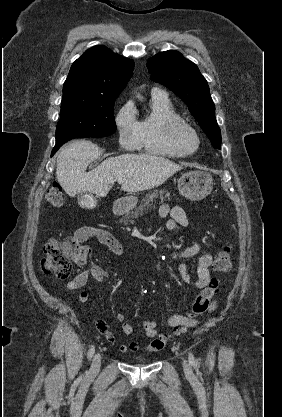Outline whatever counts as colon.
Returning <instances> with one entry per match:
<instances>
[{
    "mask_svg": "<svg viewBox=\"0 0 282 417\" xmlns=\"http://www.w3.org/2000/svg\"><path fill=\"white\" fill-rule=\"evenodd\" d=\"M46 200L53 208L63 204L62 187L55 183L46 190ZM45 256L41 259L40 268L43 273H53L57 276H69L73 266H82L87 260V250L80 242L74 243L70 239H49L44 246ZM214 268L218 272H229L232 260L228 250L221 251L214 260ZM219 290L218 279L212 278L206 287L198 294L192 304L190 317L204 314ZM166 346L165 339H156L152 346L153 353H162Z\"/></svg>",
    "mask_w": 282,
    "mask_h": 417,
    "instance_id": "colon-1",
    "label": "colon"
}]
</instances>
